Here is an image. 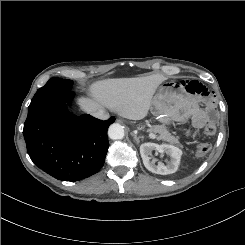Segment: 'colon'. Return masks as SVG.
Returning <instances> with one entry per match:
<instances>
[{
  "label": "colon",
  "mask_w": 245,
  "mask_h": 245,
  "mask_svg": "<svg viewBox=\"0 0 245 245\" xmlns=\"http://www.w3.org/2000/svg\"><path fill=\"white\" fill-rule=\"evenodd\" d=\"M204 132L206 135L211 136L214 135L216 132V126L213 123H208L204 127ZM192 136V134H190ZM210 150V144L209 143H201L196 148V156L203 157L205 156Z\"/></svg>",
  "instance_id": "obj_1"
}]
</instances>
